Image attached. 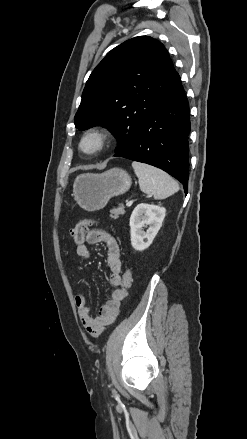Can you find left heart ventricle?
Listing matches in <instances>:
<instances>
[{
  "mask_svg": "<svg viewBox=\"0 0 247 439\" xmlns=\"http://www.w3.org/2000/svg\"><path fill=\"white\" fill-rule=\"evenodd\" d=\"M97 144V140L95 138H89L85 141L84 147L88 150L93 149Z\"/></svg>",
  "mask_w": 247,
  "mask_h": 439,
  "instance_id": "left-heart-ventricle-1",
  "label": "left heart ventricle"
}]
</instances>
